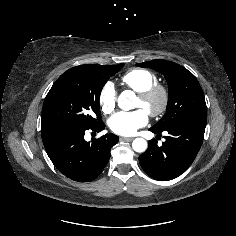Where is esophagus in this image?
<instances>
[{
  "label": "esophagus",
  "instance_id": "esophagus-1",
  "mask_svg": "<svg viewBox=\"0 0 236 236\" xmlns=\"http://www.w3.org/2000/svg\"><path fill=\"white\" fill-rule=\"evenodd\" d=\"M134 138L133 137H121L120 140H123V141H132Z\"/></svg>",
  "mask_w": 236,
  "mask_h": 236
}]
</instances>
